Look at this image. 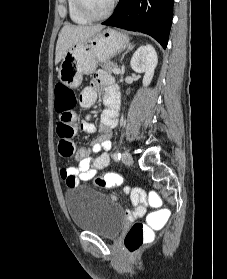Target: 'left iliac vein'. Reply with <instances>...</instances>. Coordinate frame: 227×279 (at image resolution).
Listing matches in <instances>:
<instances>
[{
    "label": "left iliac vein",
    "instance_id": "1",
    "mask_svg": "<svg viewBox=\"0 0 227 279\" xmlns=\"http://www.w3.org/2000/svg\"><path fill=\"white\" fill-rule=\"evenodd\" d=\"M122 162L127 166H131L133 164V158L128 151L123 153Z\"/></svg>",
    "mask_w": 227,
    "mask_h": 279
}]
</instances>
